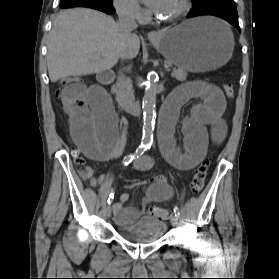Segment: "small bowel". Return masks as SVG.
Listing matches in <instances>:
<instances>
[{"mask_svg": "<svg viewBox=\"0 0 279 279\" xmlns=\"http://www.w3.org/2000/svg\"><path fill=\"white\" fill-rule=\"evenodd\" d=\"M59 97L68 117L72 138L81 152L97 162L116 157L121 149L120 120L105 89L97 85L87 87L74 83L64 87ZM191 98H199L201 102L193 106L190 115L183 120L182 152L175 146L173 131L180 108ZM225 107L223 93L214 85L196 81L177 88L167 99L159 119V142L166 160L180 170H190L203 159L210 140L221 144L227 132L223 118ZM153 164L152 157L144 156L134 161L133 168L148 171ZM79 176L93 187L100 182V177L94 174L90 166L80 169ZM142 183L148 184L142 200L143 207L173 196V188L164 176L152 177ZM127 200L128 195L121 194L114 205L115 219L123 225L134 223L141 215L138 208L125 206Z\"/></svg>", "mask_w": 279, "mask_h": 279, "instance_id": "c3829d8e", "label": "small bowel"}]
</instances>
